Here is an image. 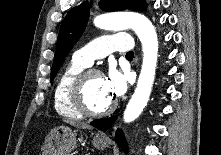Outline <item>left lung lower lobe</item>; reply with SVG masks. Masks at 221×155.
<instances>
[{
	"label": "left lung lower lobe",
	"mask_w": 221,
	"mask_h": 155,
	"mask_svg": "<svg viewBox=\"0 0 221 155\" xmlns=\"http://www.w3.org/2000/svg\"><path fill=\"white\" fill-rule=\"evenodd\" d=\"M116 119H117V116L104 118V119H97V120L92 121L91 125H93L94 127L98 128L100 130L106 131L114 124ZM115 139H116L118 145L121 147V149L123 151H126L127 145H126V141L124 139V136H123L121 130H118L116 132Z\"/></svg>",
	"instance_id": "1"
}]
</instances>
